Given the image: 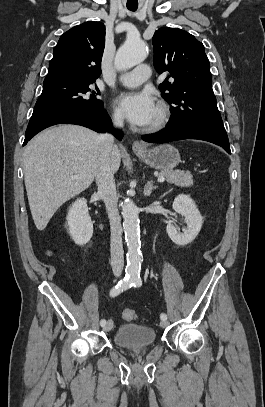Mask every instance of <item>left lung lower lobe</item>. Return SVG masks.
Instances as JSON below:
<instances>
[{
    "label": "left lung lower lobe",
    "mask_w": 265,
    "mask_h": 407,
    "mask_svg": "<svg viewBox=\"0 0 265 407\" xmlns=\"http://www.w3.org/2000/svg\"><path fill=\"white\" fill-rule=\"evenodd\" d=\"M142 139L151 143H162L182 139L204 140L221 146L227 151V153L231 154L228 137H221L217 134L196 127H167L160 133L145 135Z\"/></svg>",
    "instance_id": "left-lung-lower-lobe-1"
}]
</instances>
